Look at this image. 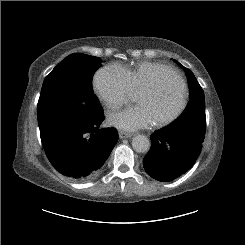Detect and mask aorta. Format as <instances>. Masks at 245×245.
<instances>
[{
	"label": "aorta",
	"instance_id": "aorta-1",
	"mask_svg": "<svg viewBox=\"0 0 245 245\" xmlns=\"http://www.w3.org/2000/svg\"><path fill=\"white\" fill-rule=\"evenodd\" d=\"M150 141L149 139L142 134H138L133 137L132 146L133 149L138 153H145L150 149Z\"/></svg>",
	"mask_w": 245,
	"mask_h": 245
}]
</instances>
